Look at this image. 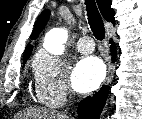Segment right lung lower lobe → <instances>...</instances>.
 Wrapping results in <instances>:
<instances>
[{"label": "right lung lower lobe", "instance_id": "1", "mask_svg": "<svg viewBox=\"0 0 142 119\" xmlns=\"http://www.w3.org/2000/svg\"><path fill=\"white\" fill-rule=\"evenodd\" d=\"M110 43L112 60L115 61L116 47L112 40L110 41ZM108 91V86L104 85L92 97L83 99L78 106L79 119H98L106 103Z\"/></svg>", "mask_w": 142, "mask_h": 119}]
</instances>
